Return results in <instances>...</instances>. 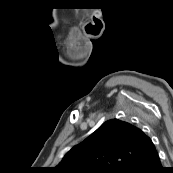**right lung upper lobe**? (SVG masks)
I'll use <instances>...</instances> for the list:
<instances>
[{"mask_svg":"<svg viewBox=\"0 0 173 173\" xmlns=\"http://www.w3.org/2000/svg\"><path fill=\"white\" fill-rule=\"evenodd\" d=\"M155 149L142 130L112 119L74 146L52 173H122L133 161Z\"/></svg>","mask_w":173,"mask_h":173,"instance_id":"cb5924a9","label":"right lung upper lobe"}]
</instances>
